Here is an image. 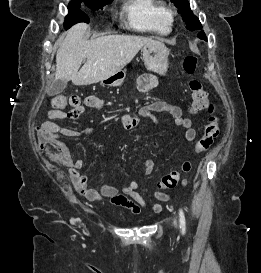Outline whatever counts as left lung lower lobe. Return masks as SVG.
I'll return each mask as SVG.
<instances>
[{"mask_svg":"<svg viewBox=\"0 0 261 273\" xmlns=\"http://www.w3.org/2000/svg\"><path fill=\"white\" fill-rule=\"evenodd\" d=\"M200 38H202V39H205L206 40V36H205V34H204V32L203 31H201L200 33H199V35H198Z\"/></svg>","mask_w":261,"mask_h":273,"instance_id":"1","label":"left lung lower lobe"}]
</instances>
